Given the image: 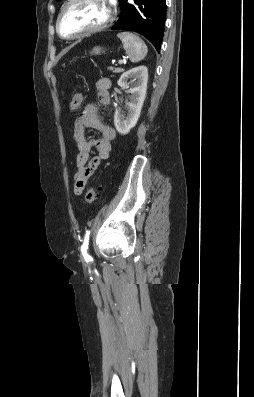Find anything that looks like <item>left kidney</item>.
I'll return each instance as SVG.
<instances>
[{
  "label": "left kidney",
  "instance_id": "obj_1",
  "mask_svg": "<svg viewBox=\"0 0 254 397\" xmlns=\"http://www.w3.org/2000/svg\"><path fill=\"white\" fill-rule=\"evenodd\" d=\"M130 79V83L128 80ZM148 83V69L146 66H139L124 72L118 80L120 87L129 84L130 97L126 103L127 113L123 114L120 109H116L114 114V125L119 134L125 135L136 125L141 109L145 100Z\"/></svg>",
  "mask_w": 254,
  "mask_h": 397
}]
</instances>
